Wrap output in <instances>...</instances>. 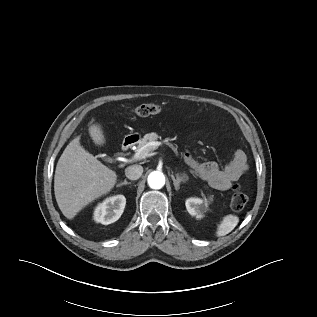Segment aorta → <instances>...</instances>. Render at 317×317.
<instances>
[{
	"instance_id": "762f6f07",
	"label": "aorta",
	"mask_w": 317,
	"mask_h": 317,
	"mask_svg": "<svg viewBox=\"0 0 317 317\" xmlns=\"http://www.w3.org/2000/svg\"><path fill=\"white\" fill-rule=\"evenodd\" d=\"M147 182L152 189H161L165 185V176L160 171H153L148 175Z\"/></svg>"
}]
</instances>
